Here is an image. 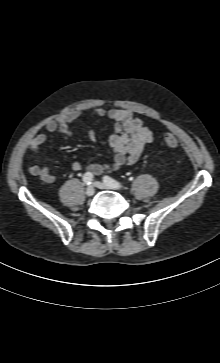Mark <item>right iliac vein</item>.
<instances>
[{
	"label": "right iliac vein",
	"mask_w": 220,
	"mask_h": 363,
	"mask_svg": "<svg viewBox=\"0 0 220 363\" xmlns=\"http://www.w3.org/2000/svg\"><path fill=\"white\" fill-rule=\"evenodd\" d=\"M85 193H86L87 196H93V194L95 193L94 187L93 186L87 187Z\"/></svg>",
	"instance_id": "obj_1"
}]
</instances>
